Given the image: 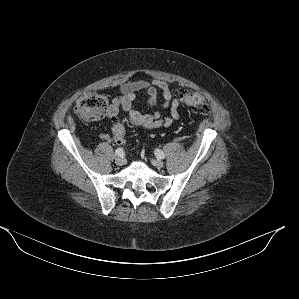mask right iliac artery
<instances>
[{
    "label": "right iliac artery",
    "instance_id": "obj_1",
    "mask_svg": "<svg viewBox=\"0 0 299 299\" xmlns=\"http://www.w3.org/2000/svg\"><path fill=\"white\" fill-rule=\"evenodd\" d=\"M115 154L117 156H122L124 154V151L122 148H118V149H116Z\"/></svg>",
    "mask_w": 299,
    "mask_h": 299
}]
</instances>
